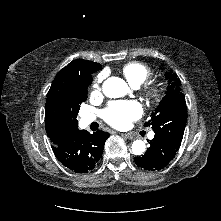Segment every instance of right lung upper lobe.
Segmentation results:
<instances>
[{"instance_id": "1", "label": "right lung upper lobe", "mask_w": 221, "mask_h": 221, "mask_svg": "<svg viewBox=\"0 0 221 221\" xmlns=\"http://www.w3.org/2000/svg\"><path fill=\"white\" fill-rule=\"evenodd\" d=\"M101 65L87 60H73L55 76L50 91L47 94L45 108L53 101L62 99L66 95L83 88H88L92 83V73L98 71ZM46 132L52 142V149L66 144L77 129L56 130L46 126Z\"/></svg>"}]
</instances>
